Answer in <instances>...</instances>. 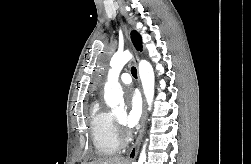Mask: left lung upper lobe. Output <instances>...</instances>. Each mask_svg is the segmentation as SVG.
<instances>
[{"instance_id":"1","label":"left lung upper lobe","mask_w":251,"mask_h":164,"mask_svg":"<svg viewBox=\"0 0 251 164\" xmlns=\"http://www.w3.org/2000/svg\"><path fill=\"white\" fill-rule=\"evenodd\" d=\"M131 39H132V42H133L134 46L136 47V49L142 50V39L136 31H133L131 33Z\"/></svg>"}]
</instances>
